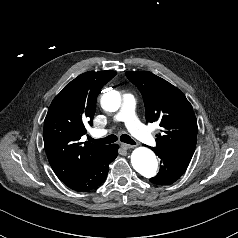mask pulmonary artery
I'll list each match as a JSON object with an SVG mask.
<instances>
[{"label": "pulmonary artery", "mask_w": 238, "mask_h": 238, "mask_svg": "<svg viewBox=\"0 0 238 238\" xmlns=\"http://www.w3.org/2000/svg\"><path fill=\"white\" fill-rule=\"evenodd\" d=\"M136 100L133 94L125 93L121 110L115 115V121H122L126 124L129 131L139 140L147 144H154L155 140L146 127L139 121L135 114ZM107 133V130H95L93 135L101 137Z\"/></svg>", "instance_id": "pulmonary-artery-1"}]
</instances>
